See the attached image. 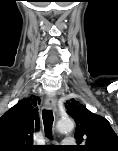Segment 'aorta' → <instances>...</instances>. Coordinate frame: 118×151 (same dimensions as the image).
I'll use <instances>...</instances> for the list:
<instances>
[{
  "label": "aorta",
  "mask_w": 118,
  "mask_h": 151,
  "mask_svg": "<svg viewBox=\"0 0 118 151\" xmlns=\"http://www.w3.org/2000/svg\"><path fill=\"white\" fill-rule=\"evenodd\" d=\"M56 128L61 133H68V132L73 131L74 122L69 117L62 118L57 122Z\"/></svg>",
  "instance_id": "1"
}]
</instances>
